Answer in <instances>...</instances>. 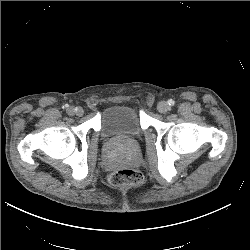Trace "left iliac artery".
Here are the masks:
<instances>
[{
    "label": "left iliac artery",
    "instance_id": "44dca946",
    "mask_svg": "<svg viewBox=\"0 0 250 250\" xmlns=\"http://www.w3.org/2000/svg\"><path fill=\"white\" fill-rule=\"evenodd\" d=\"M174 103H175V102H174L172 99L168 100V104H169L170 106H173Z\"/></svg>",
    "mask_w": 250,
    "mask_h": 250
}]
</instances>
